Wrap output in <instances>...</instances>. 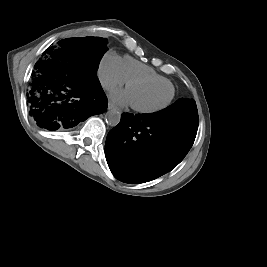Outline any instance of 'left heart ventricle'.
<instances>
[{
	"instance_id": "obj_1",
	"label": "left heart ventricle",
	"mask_w": 267,
	"mask_h": 267,
	"mask_svg": "<svg viewBox=\"0 0 267 267\" xmlns=\"http://www.w3.org/2000/svg\"><path fill=\"white\" fill-rule=\"evenodd\" d=\"M131 103L140 107H154L165 103L172 90L168 85L154 83L133 84L128 87Z\"/></svg>"
}]
</instances>
